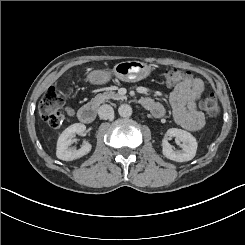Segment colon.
<instances>
[{
  "mask_svg": "<svg viewBox=\"0 0 245 245\" xmlns=\"http://www.w3.org/2000/svg\"><path fill=\"white\" fill-rule=\"evenodd\" d=\"M166 83L174 86L184 81L189 73L181 69L171 67L164 73ZM69 95V89L62 86L50 87L42 96L38 112L41 119L52 128H59L64 122V116L60 111L61 106ZM202 108L208 116H215L219 111L218 100L215 95L211 94L202 101Z\"/></svg>",
  "mask_w": 245,
  "mask_h": 245,
  "instance_id": "5ec220e1",
  "label": "colon"
}]
</instances>
